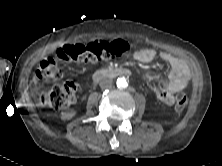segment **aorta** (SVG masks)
Listing matches in <instances>:
<instances>
[{
	"label": "aorta",
	"instance_id": "aorta-1",
	"mask_svg": "<svg viewBox=\"0 0 222 166\" xmlns=\"http://www.w3.org/2000/svg\"><path fill=\"white\" fill-rule=\"evenodd\" d=\"M117 86H118V87H121V88L127 87L126 78H125V77H119V78L117 79Z\"/></svg>",
	"mask_w": 222,
	"mask_h": 166
}]
</instances>
